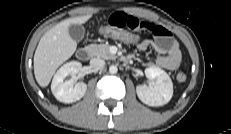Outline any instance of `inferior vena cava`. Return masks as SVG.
<instances>
[{"label":"inferior vena cava","instance_id":"1","mask_svg":"<svg viewBox=\"0 0 231 134\" xmlns=\"http://www.w3.org/2000/svg\"><path fill=\"white\" fill-rule=\"evenodd\" d=\"M90 65L93 68H101L105 65V61L103 59H100V58H93L90 60Z\"/></svg>","mask_w":231,"mask_h":134}]
</instances>
